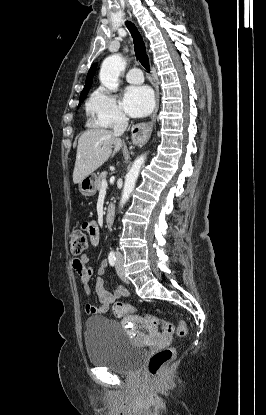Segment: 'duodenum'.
<instances>
[{"label":"duodenum","instance_id":"410a0bca","mask_svg":"<svg viewBox=\"0 0 266 415\" xmlns=\"http://www.w3.org/2000/svg\"><path fill=\"white\" fill-rule=\"evenodd\" d=\"M115 216V207L110 204L107 207L106 214H105V222L108 227H111L114 221Z\"/></svg>","mask_w":266,"mask_h":415}]
</instances>
